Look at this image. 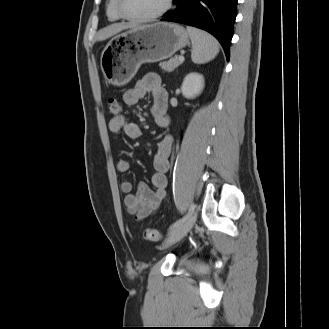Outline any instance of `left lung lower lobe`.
<instances>
[{"mask_svg": "<svg viewBox=\"0 0 329 329\" xmlns=\"http://www.w3.org/2000/svg\"><path fill=\"white\" fill-rule=\"evenodd\" d=\"M177 8L162 21L184 23L208 31L221 43L229 60L237 0H176Z\"/></svg>", "mask_w": 329, "mask_h": 329, "instance_id": "obj_1", "label": "left lung lower lobe"}]
</instances>
